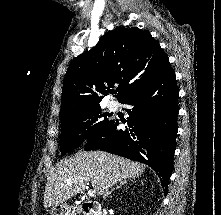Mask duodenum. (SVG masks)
I'll list each match as a JSON object with an SVG mask.
<instances>
[{
	"mask_svg": "<svg viewBox=\"0 0 221 215\" xmlns=\"http://www.w3.org/2000/svg\"><path fill=\"white\" fill-rule=\"evenodd\" d=\"M83 209L88 215H101V206L98 202L87 201L83 204Z\"/></svg>",
	"mask_w": 221,
	"mask_h": 215,
	"instance_id": "obj_1",
	"label": "duodenum"
}]
</instances>
